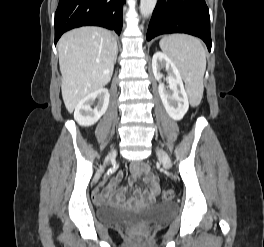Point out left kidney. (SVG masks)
<instances>
[{"instance_id":"left-kidney-1","label":"left kidney","mask_w":264,"mask_h":247,"mask_svg":"<svg viewBox=\"0 0 264 247\" xmlns=\"http://www.w3.org/2000/svg\"><path fill=\"white\" fill-rule=\"evenodd\" d=\"M165 68L168 76L169 89L159 83L158 91L168 115L176 121L181 120L189 108L188 95L185 91L182 77L174 62L164 53L156 52L152 58L154 77L160 81L161 69Z\"/></svg>"}]
</instances>
